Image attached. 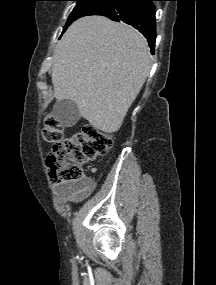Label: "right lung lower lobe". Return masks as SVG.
I'll return each mask as SVG.
<instances>
[{
    "instance_id": "98d812e1",
    "label": "right lung lower lobe",
    "mask_w": 216,
    "mask_h": 285,
    "mask_svg": "<svg viewBox=\"0 0 216 285\" xmlns=\"http://www.w3.org/2000/svg\"><path fill=\"white\" fill-rule=\"evenodd\" d=\"M156 0H117L113 5L95 15H102L113 21H123L139 30L149 42L154 54L156 40L155 6Z\"/></svg>"
}]
</instances>
